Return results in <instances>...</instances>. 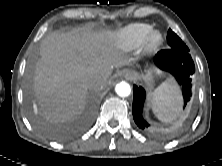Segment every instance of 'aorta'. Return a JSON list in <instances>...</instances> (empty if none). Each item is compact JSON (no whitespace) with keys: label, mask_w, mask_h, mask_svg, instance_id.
I'll list each match as a JSON object with an SVG mask.
<instances>
[{"label":"aorta","mask_w":222,"mask_h":166,"mask_svg":"<svg viewBox=\"0 0 222 166\" xmlns=\"http://www.w3.org/2000/svg\"><path fill=\"white\" fill-rule=\"evenodd\" d=\"M115 91L120 97H127L131 93V87L126 82H120L116 85Z\"/></svg>","instance_id":"obj_1"}]
</instances>
